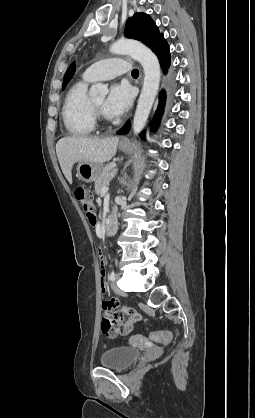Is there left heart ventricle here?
Segmentation results:
<instances>
[{"label":"left heart ventricle","instance_id":"left-heart-ventricle-1","mask_svg":"<svg viewBox=\"0 0 255 418\" xmlns=\"http://www.w3.org/2000/svg\"><path fill=\"white\" fill-rule=\"evenodd\" d=\"M103 98H99V99H95V100H93V103L97 106V107H99V108H101L102 107V105H103Z\"/></svg>","mask_w":255,"mask_h":418}]
</instances>
